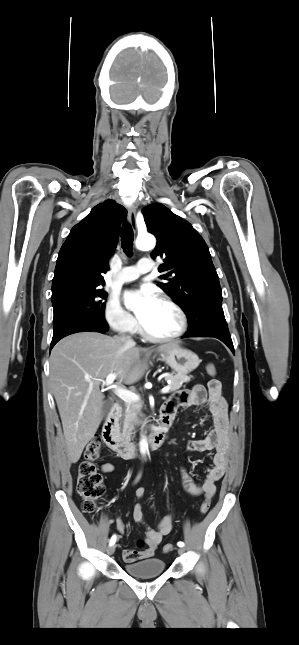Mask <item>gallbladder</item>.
<instances>
[{
	"instance_id": "obj_1",
	"label": "gallbladder",
	"mask_w": 299,
	"mask_h": 645,
	"mask_svg": "<svg viewBox=\"0 0 299 645\" xmlns=\"http://www.w3.org/2000/svg\"><path fill=\"white\" fill-rule=\"evenodd\" d=\"M111 407H112V403L110 401H105L104 402V405H103V408H102L103 416H106L108 414V412L110 411Z\"/></svg>"
}]
</instances>
